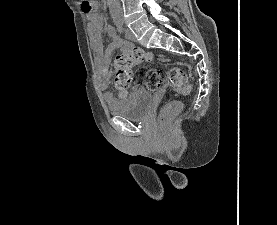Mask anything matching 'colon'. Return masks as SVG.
<instances>
[{"label": "colon", "instance_id": "5ec220e1", "mask_svg": "<svg viewBox=\"0 0 277 225\" xmlns=\"http://www.w3.org/2000/svg\"><path fill=\"white\" fill-rule=\"evenodd\" d=\"M82 10L86 13L94 12L96 4L93 0H82ZM154 60V54L143 49H133L129 53L116 56L114 61L115 75L114 85L120 95H124L130 88L133 80V66L143 62ZM168 79L170 85L184 94H189L192 87L189 82L188 74L178 67H172L167 71V75L161 70H150L146 73V87L155 91L161 87L165 79ZM183 109V103L179 100L168 102L159 115L160 123L166 127L173 117L179 114Z\"/></svg>", "mask_w": 277, "mask_h": 225}]
</instances>
